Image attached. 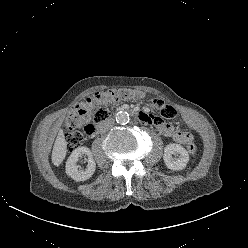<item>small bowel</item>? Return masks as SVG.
I'll use <instances>...</instances> for the list:
<instances>
[{
  "instance_id": "1",
  "label": "small bowel",
  "mask_w": 248,
  "mask_h": 248,
  "mask_svg": "<svg viewBox=\"0 0 248 248\" xmlns=\"http://www.w3.org/2000/svg\"><path fill=\"white\" fill-rule=\"evenodd\" d=\"M148 105L149 107L154 108L155 112H157L159 116L145 114L142 117L143 124H152L153 128L158 129L163 136L170 137L179 144H187L192 141L193 136L189 132L177 131L173 126L164 122L177 120L180 117L179 110L175 109L172 103L162 101L160 98L151 97L148 100ZM183 118L190 128L195 132H199L197 124L190 116L184 115Z\"/></svg>"
}]
</instances>
